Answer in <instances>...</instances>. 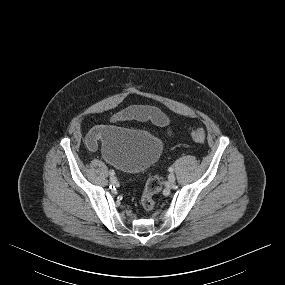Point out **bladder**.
<instances>
[{
	"label": "bladder",
	"instance_id": "1",
	"mask_svg": "<svg viewBox=\"0 0 285 285\" xmlns=\"http://www.w3.org/2000/svg\"><path fill=\"white\" fill-rule=\"evenodd\" d=\"M103 157L127 173L144 171L163 150L161 140L146 130L105 125L101 137Z\"/></svg>",
	"mask_w": 285,
	"mask_h": 285
}]
</instances>
